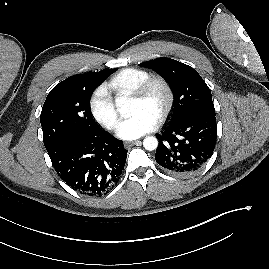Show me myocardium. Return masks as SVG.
<instances>
[{
    "label": "myocardium",
    "instance_id": "1",
    "mask_svg": "<svg viewBox=\"0 0 269 269\" xmlns=\"http://www.w3.org/2000/svg\"><path fill=\"white\" fill-rule=\"evenodd\" d=\"M155 86H159L165 93V103L157 118V122L162 123L171 112L174 104L173 89L165 78L161 76H150L135 89L131 96L133 99L144 100Z\"/></svg>",
    "mask_w": 269,
    "mask_h": 269
}]
</instances>
